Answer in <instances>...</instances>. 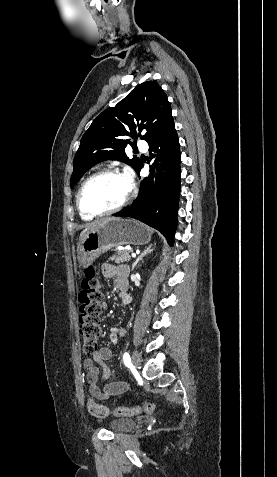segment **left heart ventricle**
Returning a JSON list of instances; mask_svg holds the SVG:
<instances>
[{
	"instance_id": "obj_1",
	"label": "left heart ventricle",
	"mask_w": 277,
	"mask_h": 477,
	"mask_svg": "<svg viewBox=\"0 0 277 477\" xmlns=\"http://www.w3.org/2000/svg\"><path fill=\"white\" fill-rule=\"evenodd\" d=\"M126 179L106 174L93 179L85 188L82 203L86 210L100 212L118 205L128 192Z\"/></svg>"
}]
</instances>
